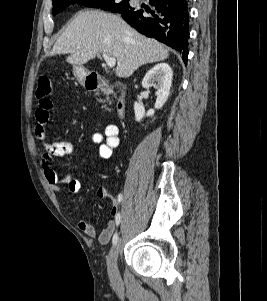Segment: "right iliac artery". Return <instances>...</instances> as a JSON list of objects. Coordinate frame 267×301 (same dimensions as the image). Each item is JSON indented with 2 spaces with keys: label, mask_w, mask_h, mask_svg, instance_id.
I'll list each match as a JSON object with an SVG mask.
<instances>
[{
  "label": "right iliac artery",
  "mask_w": 267,
  "mask_h": 301,
  "mask_svg": "<svg viewBox=\"0 0 267 301\" xmlns=\"http://www.w3.org/2000/svg\"><path fill=\"white\" fill-rule=\"evenodd\" d=\"M121 200H122V195H119V196H118V202L120 203ZM120 222H121V215L118 214V216H117V218H116V224H117V226L120 224ZM117 241H118V233L116 232V233L113 235L112 243H113V244H116Z\"/></svg>",
  "instance_id": "82829eb1"
}]
</instances>
